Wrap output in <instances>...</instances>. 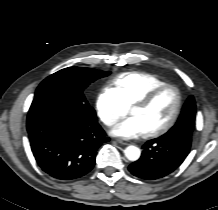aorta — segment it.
Segmentation results:
<instances>
[{
    "label": "aorta",
    "instance_id": "762f6f07",
    "mask_svg": "<svg viewBox=\"0 0 218 210\" xmlns=\"http://www.w3.org/2000/svg\"><path fill=\"white\" fill-rule=\"evenodd\" d=\"M125 157L130 161H136L141 155V150L133 145L126 147L124 150Z\"/></svg>",
    "mask_w": 218,
    "mask_h": 210
}]
</instances>
